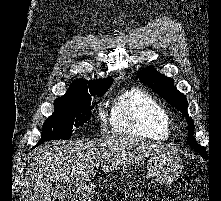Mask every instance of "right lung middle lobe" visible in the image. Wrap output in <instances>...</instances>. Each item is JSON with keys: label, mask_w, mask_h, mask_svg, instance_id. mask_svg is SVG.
Instances as JSON below:
<instances>
[{"label": "right lung middle lobe", "mask_w": 221, "mask_h": 201, "mask_svg": "<svg viewBox=\"0 0 221 201\" xmlns=\"http://www.w3.org/2000/svg\"><path fill=\"white\" fill-rule=\"evenodd\" d=\"M105 91L92 95L69 98L59 97L54 101V112L45 121L39 144L48 140L69 139L73 128L83 126L90 119L92 96H103Z\"/></svg>", "instance_id": "obj_1"}]
</instances>
